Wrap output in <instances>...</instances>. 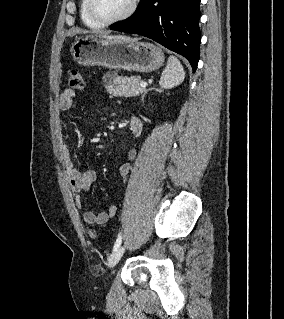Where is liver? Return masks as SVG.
I'll use <instances>...</instances> for the list:
<instances>
[{"mask_svg": "<svg viewBox=\"0 0 284 319\" xmlns=\"http://www.w3.org/2000/svg\"><path fill=\"white\" fill-rule=\"evenodd\" d=\"M103 38H107V39H115V40H123V41H136L137 39H132L130 37L127 36H122V35H108L107 33H104L101 35Z\"/></svg>", "mask_w": 284, "mask_h": 319, "instance_id": "obj_1", "label": "liver"}]
</instances>
